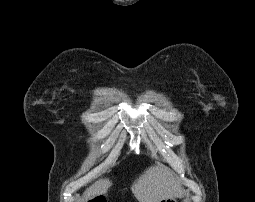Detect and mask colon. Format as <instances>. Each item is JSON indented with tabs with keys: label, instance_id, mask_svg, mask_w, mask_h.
I'll use <instances>...</instances> for the list:
<instances>
[{
	"label": "colon",
	"instance_id": "obj_1",
	"mask_svg": "<svg viewBox=\"0 0 255 202\" xmlns=\"http://www.w3.org/2000/svg\"><path fill=\"white\" fill-rule=\"evenodd\" d=\"M90 202H104V201H101V200H93V201H90Z\"/></svg>",
	"mask_w": 255,
	"mask_h": 202
}]
</instances>
